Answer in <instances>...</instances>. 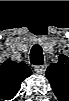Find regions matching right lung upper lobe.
<instances>
[{"label": "right lung upper lobe", "instance_id": "obj_1", "mask_svg": "<svg viewBox=\"0 0 69 101\" xmlns=\"http://www.w3.org/2000/svg\"><path fill=\"white\" fill-rule=\"evenodd\" d=\"M32 74L24 62L16 63L10 59L0 66V89L7 99H12L19 91L21 82Z\"/></svg>", "mask_w": 69, "mask_h": 101}]
</instances>
